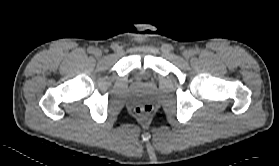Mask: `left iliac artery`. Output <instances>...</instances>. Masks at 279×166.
<instances>
[{"label":"left iliac artery","mask_w":279,"mask_h":166,"mask_svg":"<svg viewBox=\"0 0 279 166\" xmlns=\"http://www.w3.org/2000/svg\"><path fill=\"white\" fill-rule=\"evenodd\" d=\"M193 53H194V54H197V53H198V50H194Z\"/></svg>","instance_id":"44dca946"}]
</instances>
